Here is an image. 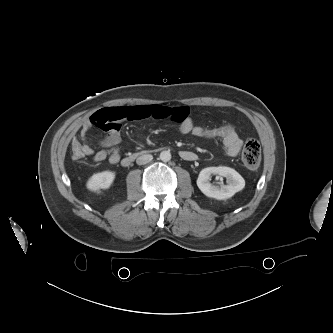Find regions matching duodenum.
<instances>
[{"instance_id": "duodenum-1", "label": "duodenum", "mask_w": 333, "mask_h": 333, "mask_svg": "<svg viewBox=\"0 0 333 333\" xmlns=\"http://www.w3.org/2000/svg\"><path fill=\"white\" fill-rule=\"evenodd\" d=\"M150 151H147V150H142V151H138V152H134V153H131V154H129V155H127L126 157H124L123 159H122V165L124 166V167H128V166H130L135 160H136V158L137 157H139V156H141V155H144V154H147V153H149ZM186 156H188V157H190V158H194V156L193 155H186Z\"/></svg>"}]
</instances>
